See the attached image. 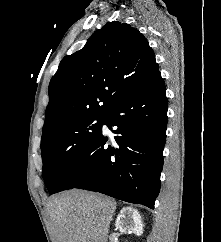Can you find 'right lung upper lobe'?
<instances>
[{
    "label": "right lung upper lobe",
    "mask_w": 221,
    "mask_h": 242,
    "mask_svg": "<svg viewBox=\"0 0 221 242\" xmlns=\"http://www.w3.org/2000/svg\"><path fill=\"white\" fill-rule=\"evenodd\" d=\"M158 68L152 48L137 29L108 22L81 50L60 62L49 84L43 135L80 117L103 115Z\"/></svg>",
    "instance_id": "1"
}]
</instances>
